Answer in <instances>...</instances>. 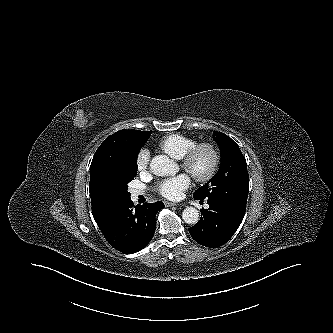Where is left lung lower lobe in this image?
Segmentation results:
<instances>
[{
  "label": "left lung lower lobe",
  "instance_id": "0a47b994",
  "mask_svg": "<svg viewBox=\"0 0 333 333\" xmlns=\"http://www.w3.org/2000/svg\"><path fill=\"white\" fill-rule=\"evenodd\" d=\"M200 200V199H199ZM209 209L201 210L200 220L189 232L199 244L216 248L224 245L240 226L245 209L216 199H207Z\"/></svg>",
  "mask_w": 333,
  "mask_h": 333
}]
</instances>
